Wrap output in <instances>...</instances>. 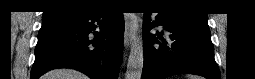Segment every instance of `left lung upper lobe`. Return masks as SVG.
I'll return each instance as SVG.
<instances>
[{
  "label": "left lung upper lobe",
  "instance_id": "5c2ea615",
  "mask_svg": "<svg viewBox=\"0 0 255 79\" xmlns=\"http://www.w3.org/2000/svg\"><path fill=\"white\" fill-rule=\"evenodd\" d=\"M180 2L174 0H163L160 1V9L169 10L175 15L184 16V17H192L197 19L207 20V14H201L193 11H183Z\"/></svg>",
  "mask_w": 255,
  "mask_h": 79
}]
</instances>
